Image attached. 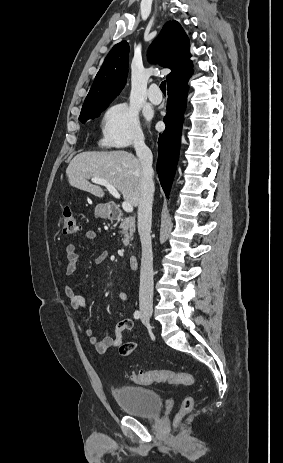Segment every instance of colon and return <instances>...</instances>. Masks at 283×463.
Here are the masks:
<instances>
[{"mask_svg": "<svg viewBox=\"0 0 283 463\" xmlns=\"http://www.w3.org/2000/svg\"><path fill=\"white\" fill-rule=\"evenodd\" d=\"M59 225L64 235H72L77 231L76 220L69 206L63 207L59 216ZM122 352H125V348L122 349ZM130 379L140 385L153 383L190 385L193 382L192 375L172 370H152L133 373L130 375ZM192 408L193 399L191 397L184 398L176 415V422H179Z\"/></svg>", "mask_w": 283, "mask_h": 463, "instance_id": "colon-1", "label": "colon"}]
</instances>
